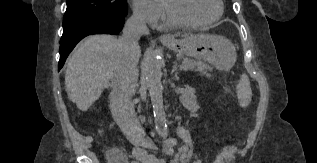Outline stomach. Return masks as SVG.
<instances>
[{
    "mask_svg": "<svg viewBox=\"0 0 317 163\" xmlns=\"http://www.w3.org/2000/svg\"><path fill=\"white\" fill-rule=\"evenodd\" d=\"M163 45L180 54L206 60L219 69H230L236 61L234 45L217 35H190L170 43L163 42Z\"/></svg>",
    "mask_w": 317,
    "mask_h": 163,
    "instance_id": "1",
    "label": "stomach"
}]
</instances>
